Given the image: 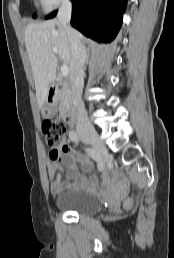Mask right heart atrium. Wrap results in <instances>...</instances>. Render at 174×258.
I'll return each mask as SVG.
<instances>
[{
    "mask_svg": "<svg viewBox=\"0 0 174 258\" xmlns=\"http://www.w3.org/2000/svg\"><path fill=\"white\" fill-rule=\"evenodd\" d=\"M66 1L68 0H39V3L44 11L51 12Z\"/></svg>",
    "mask_w": 174,
    "mask_h": 258,
    "instance_id": "1",
    "label": "right heart atrium"
}]
</instances>
